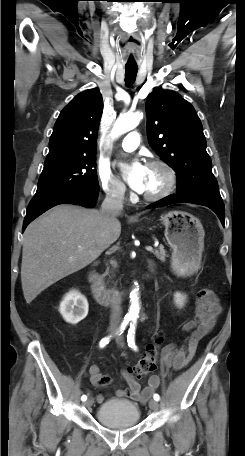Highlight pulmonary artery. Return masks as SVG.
Masks as SVG:
<instances>
[{
    "mask_svg": "<svg viewBox=\"0 0 245 456\" xmlns=\"http://www.w3.org/2000/svg\"><path fill=\"white\" fill-rule=\"evenodd\" d=\"M140 142V136L137 132L133 131L127 134L121 143V148L126 152L134 151Z\"/></svg>",
    "mask_w": 245,
    "mask_h": 456,
    "instance_id": "1",
    "label": "pulmonary artery"
}]
</instances>
